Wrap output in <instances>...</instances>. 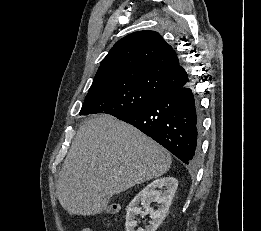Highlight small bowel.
Wrapping results in <instances>:
<instances>
[{
	"instance_id": "obj_1",
	"label": "small bowel",
	"mask_w": 261,
	"mask_h": 231,
	"mask_svg": "<svg viewBox=\"0 0 261 231\" xmlns=\"http://www.w3.org/2000/svg\"><path fill=\"white\" fill-rule=\"evenodd\" d=\"M82 231H95V230L92 229V228L86 227V228H84Z\"/></svg>"
}]
</instances>
